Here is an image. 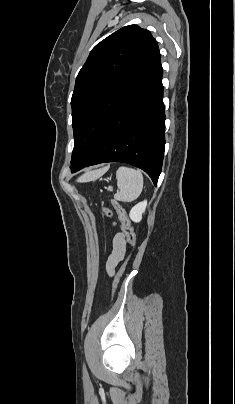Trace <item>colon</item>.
I'll return each mask as SVG.
<instances>
[{"label": "colon", "mask_w": 235, "mask_h": 404, "mask_svg": "<svg viewBox=\"0 0 235 404\" xmlns=\"http://www.w3.org/2000/svg\"><path fill=\"white\" fill-rule=\"evenodd\" d=\"M112 205L120 217L121 228L125 235L126 241L129 243V245L132 248H134L136 245V234H135L134 228L132 227L129 220L125 216L124 208L116 200L112 201ZM104 213L107 217L113 218V212L111 209L105 208ZM125 267H126V264H124L114 276L113 283H112L113 292L116 289L122 274L124 273Z\"/></svg>", "instance_id": "5ec220e1"}]
</instances>
